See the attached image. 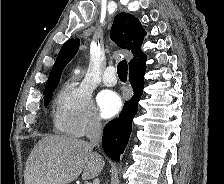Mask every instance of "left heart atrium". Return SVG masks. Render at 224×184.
<instances>
[{
  "instance_id": "obj_1",
  "label": "left heart atrium",
  "mask_w": 224,
  "mask_h": 184,
  "mask_svg": "<svg viewBox=\"0 0 224 184\" xmlns=\"http://www.w3.org/2000/svg\"><path fill=\"white\" fill-rule=\"evenodd\" d=\"M98 106L102 117L110 118L120 111L122 101L115 92L104 91L98 97Z\"/></svg>"
}]
</instances>
